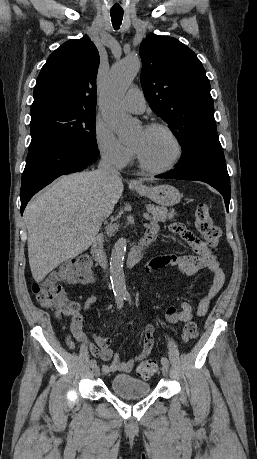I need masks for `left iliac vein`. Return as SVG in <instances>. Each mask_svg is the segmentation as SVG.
I'll return each mask as SVG.
<instances>
[{"mask_svg": "<svg viewBox=\"0 0 257 459\" xmlns=\"http://www.w3.org/2000/svg\"><path fill=\"white\" fill-rule=\"evenodd\" d=\"M168 370H169V369H168V366H167V365H163V366H162V374H163L164 376H167V375H168Z\"/></svg>", "mask_w": 257, "mask_h": 459, "instance_id": "left-iliac-vein-1", "label": "left iliac vein"}]
</instances>
